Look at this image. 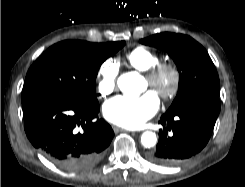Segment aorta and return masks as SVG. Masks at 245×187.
Wrapping results in <instances>:
<instances>
[{
  "label": "aorta",
  "instance_id": "aorta-1",
  "mask_svg": "<svg viewBox=\"0 0 245 187\" xmlns=\"http://www.w3.org/2000/svg\"><path fill=\"white\" fill-rule=\"evenodd\" d=\"M139 80V75L134 73H125L118 78L117 84L125 96L136 97L139 95L137 90ZM156 142V134L151 131H146L141 136V143L146 148L155 146Z\"/></svg>",
  "mask_w": 245,
  "mask_h": 187
}]
</instances>
